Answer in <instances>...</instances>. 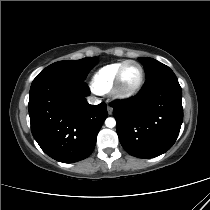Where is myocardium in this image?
<instances>
[{
  "label": "myocardium",
  "mask_w": 210,
  "mask_h": 210,
  "mask_svg": "<svg viewBox=\"0 0 210 210\" xmlns=\"http://www.w3.org/2000/svg\"><path fill=\"white\" fill-rule=\"evenodd\" d=\"M130 63L136 64L139 67L140 76H139V79L135 85H133L132 87H129V88H125L122 85V74H123L125 67ZM144 78H145L144 68L138 61H135V60L124 61V63L118 69L115 79H114V83L112 86L113 95L118 99H128V98L134 96L142 87Z\"/></svg>",
  "instance_id": "obj_1"
}]
</instances>
